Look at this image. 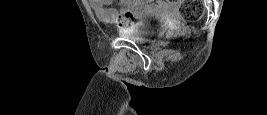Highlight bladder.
Listing matches in <instances>:
<instances>
[{
  "label": "bladder",
  "instance_id": "31cf9c89",
  "mask_svg": "<svg viewBox=\"0 0 267 115\" xmlns=\"http://www.w3.org/2000/svg\"><path fill=\"white\" fill-rule=\"evenodd\" d=\"M145 19H158L159 16L153 13L143 15ZM118 33L127 39L136 41H143L151 38L154 35L153 28L147 26L145 23H136L128 27L118 29Z\"/></svg>",
  "mask_w": 267,
  "mask_h": 115
}]
</instances>
